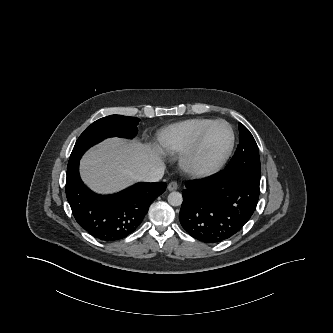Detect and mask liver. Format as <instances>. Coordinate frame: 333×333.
Masks as SVG:
<instances>
[{
	"label": "liver",
	"instance_id": "1",
	"mask_svg": "<svg viewBox=\"0 0 333 333\" xmlns=\"http://www.w3.org/2000/svg\"><path fill=\"white\" fill-rule=\"evenodd\" d=\"M155 166H162L160 150L119 138L104 141L89 150L80 163L84 182L98 193L119 191Z\"/></svg>",
	"mask_w": 333,
	"mask_h": 333
}]
</instances>
